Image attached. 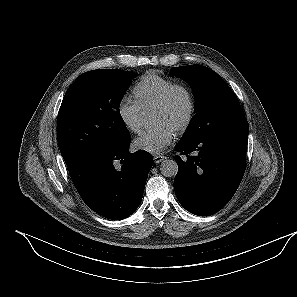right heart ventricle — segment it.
Returning a JSON list of instances; mask_svg holds the SVG:
<instances>
[{"instance_id": "1", "label": "right heart ventricle", "mask_w": 297, "mask_h": 297, "mask_svg": "<svg viewBox=\"0 0 297 297\" xmlns=\"http://www.w3.org/2000/svg\"><path fill=\"white\" fill-rule=\"evenodd\" d=\"M175 82L155 72H148L133 87L135 101L142 111L154 107Z\"/></svg>"}]
</instances>
